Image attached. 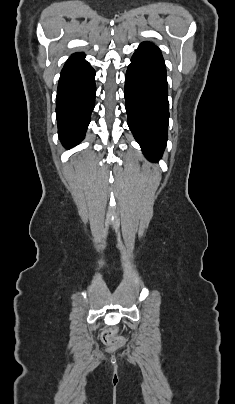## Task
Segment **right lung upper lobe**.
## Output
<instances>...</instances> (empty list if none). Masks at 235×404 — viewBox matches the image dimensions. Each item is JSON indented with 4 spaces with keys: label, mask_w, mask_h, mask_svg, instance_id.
I'll return each mask as SVG.
<instances>
[{
    "label": "right lung upper lobe",
    "mask_w": 235,
    "mask_h": 404,
    "mask_svg": "<svg viewBox=\"0 0 235 404\" xmlns=\"http://www.w3.org/2000/svg\"><path fill=\"white\" fill-rule=\"evenodd\" d=\"M83 54H78V53H76V54H73L72 56H82Z\"/></svg>",
    "instance_id": "1"
}]
</instances>
